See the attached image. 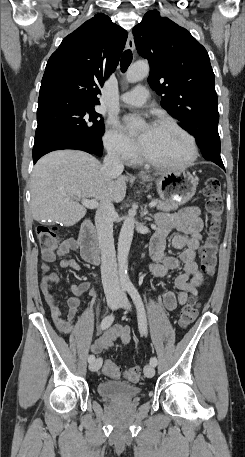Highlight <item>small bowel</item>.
Returning <instances> with one entry per match:
<instances>
[{"instance_id": "obj_1", "label": "small bowel", "mask_w": 245, "mask_h": 457, "mask_svg": "<svg viewBox=\"0 0 245 457\" xmlns=\"http://www.w3.org/2000/svg\"><path fill=\"white\" fill-rule=\"evenodd\" d=\"M156 231L153 234L149 252L154 263L150 266V272L155 277H164L170 270L178 269L183 264V272L175 279L178 292L168 291L163 295V305L172 311L178 306H183L190 294H195L197 287L202 281V274L196 258V251L200 245L203 219L201 211L196 206L187 207L175 213H159L156 215ZM176 231L173 236L172 246L182 250L179 257L164 254L165 239L169 233ZM79 242L75 239H67L62 242L56 253L43 254L41 263L40 286L44 300L50 309L51 317L57 329L69 337L73 347L99 354L113 346L117 341L127 344L130 340L131 330L128 326L114 325L103 331L100 337L93 340L91 332L80 325H74L73 319L77 314L80 300L86 293L96 296V290L89 282H81L71 285V297L67 300L68 312L63 317L56 297L52 293L54 284L60 282V277L51 272L50 263L60 259V265L64 268L80 270L78 262L64 256L77 250Z\"/></svg>"}]
</instances>
